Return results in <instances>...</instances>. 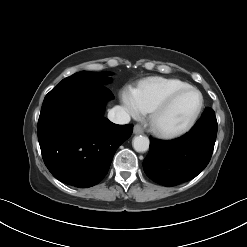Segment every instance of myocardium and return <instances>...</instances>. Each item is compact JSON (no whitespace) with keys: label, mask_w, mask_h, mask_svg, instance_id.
<instances>
[{"label":"myocardium","mask_w":247,"mask_h":247,"mask_svg":"<svg viewBox=\"0 0 247 247\" xmlns=\"http://www.w3.org/2000/svg\"><path fill=\"white\" fill-rule=\"evenodd\" d=\"M188 92H195L199 95L200 98L199 105L196 111L194 112V114L192 115V117L188 120L186 124H184L182 127L178 129L167 130L160 127L158 124V120L160 116L174 103V101L177 98ZM203 108H204V96L202 92L195 87L189 86L187 88L173 92L168 97H166L163 101H161L158 105H156L150 111L149 124L153 132L156 133L158 136L168 139L177 138L188 133L195 126L203 111Z\"/></svg>","instance_id":"myocardium-1"}]
</instances>
